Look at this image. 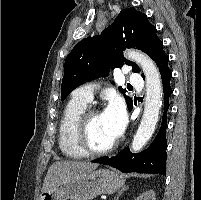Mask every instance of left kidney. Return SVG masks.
I'll return each instance as SVG.
<instances>
[{
  "mask_svg": "<svg viewBox=\"0 0 201 200\" xmlns=\"http://www.w3.org/2000/svg\"><path fill=\"white\" fill-rule=\"evenodd\" d=\"M135 200H156L155 192L153 190L146 191Z\"/></svg>",
  "mask_w": 201,
  "mask_h": 200,
  "instance_id": "1",
  "label": "left kidney"
}]
</instances>
